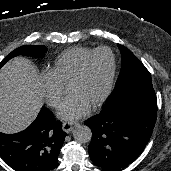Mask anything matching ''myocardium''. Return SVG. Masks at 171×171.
Listing matches in <instances>:
<instances>
[{"mask_svg": "<svg viewBox=\"0 0 171 171\" xmlns=\"http://www.w3.org/2000/svg\"><path fill=\"white\" fill-rule=\"evenodd\" d=\"M101 52H106L110 55L111 57V61H112V66H111V72H110V76H109V80L106 86V89L104 91V93L102 94V96L94 103V105H92V108H97L99 106H101L110 96L113 87H114V82H115V78H116V71H117V59H116V55L115 53L108 47H100L97 48L95 50H93L82 62L81 64L78 66L77 70L75 71V73L72 75L71 79L68 82V86L80 79L82 77V75L85 72V69L88 65V63L90 62V60L97 54L101 53Z\"/></svg>", "mask_w": 171, "mask_h": 171, "instance_id": "obj_1", "label": "myocardium"}]
</instances>
